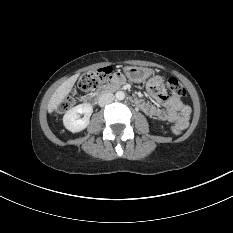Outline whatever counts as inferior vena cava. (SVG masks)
I'll list each match as a JSON object with an SVG mask.
<instances>
[{"label": "inferior vena cava", "mask_w": 233, "mask_h": 233, "mask_svg": "<svg viewBox=\"0 0 233 233\" xmlns=\"http://www.w3.org/2000/svg\"><path fill=\"white\" fill-rule=\"evenodd\" d=\"M114 95L112 93H103L98 99V105L103 107L114 101Z\"/></svg>", "instance_id": "inferior-vena-cava-1"}]
</instances>
